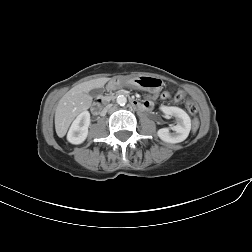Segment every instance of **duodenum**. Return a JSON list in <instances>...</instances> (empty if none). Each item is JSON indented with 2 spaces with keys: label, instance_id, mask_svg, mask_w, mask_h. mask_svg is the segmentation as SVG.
I'll return each instance as SVG.
<instances>
[{
  "label": "duodenum",
  "instance_id": "410a0bca",
  "mask_svg": "<svg viewBox=\"0 0 252 252\" xmlns=\"http://www.w3.org/2000/svg\"><path fill=\"white\" fill-rule=\"evenodd\" d=\"M117 87V83L115 81H111L109 83V89L111 91L115 90V88ZM130 103L133 107L138 108V109H143L144 105L142 102H139L135 99H131ZM105 109V100H99L97 103H95L94 107H93V111L96 115H99L101 113H103Z\"/></svg>",
  "mask_w": 252,
  "mask_h": 252
}]
</instances>
